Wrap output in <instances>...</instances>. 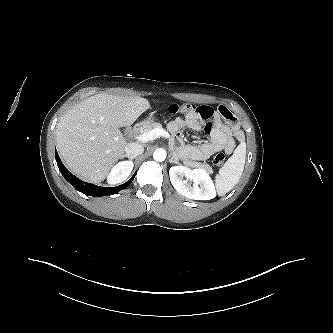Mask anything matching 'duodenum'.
<instances>
[{
	"label": "duodenum",
	"instance_id": "410a0bca",
	"mask_svg": "<svg viewBox=\"0 0 333 333\" xmlns=\"http://www.w3.org/2000/svg\"><path fill=\"white\" fill-rule=\"evenodd\" d=\"M145 126H146L145 122H139L135 125L134 130L135 132L139 133L145 128Z\"/></svg>",
	"mask_w": 333,
	"mask_h": 333
}]
</instances>
